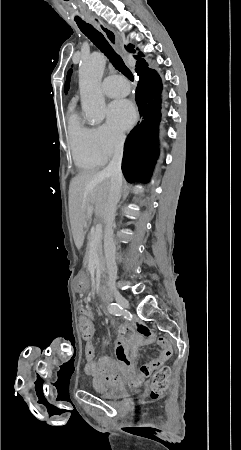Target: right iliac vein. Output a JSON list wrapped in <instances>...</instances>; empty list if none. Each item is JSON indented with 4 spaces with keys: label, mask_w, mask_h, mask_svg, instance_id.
Listing matches in <instances>:
<instances>
[{
    "label": "right iliac vein",
    "mask_w": 241,
    "mask_h": 450,
    "mask_svg": "<svg viewBox=\"0 0 241 450\" xmlns=\"http://www.w3.org/2000/svg\"><path fill=\"white\" fill-rule=\"evenodd\" d=\"M114 298L120 306H122L123 308H128V301L120 293H114Z\"/></svg>",
    "instance_id": "63e3f726"
}]
</instances>
